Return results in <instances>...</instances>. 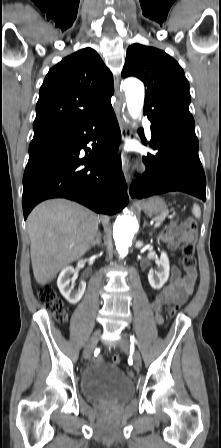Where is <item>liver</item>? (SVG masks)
I'll return each instance as SVG.
<instances>
[{"label": "liver", "instance_id": "liver-1", "mask_svg": "<svg viewBox=\"0 0 221 448\" xmlns=\"http://www.w3.org/2000/svg\"><path fill=\"white\" fill-rule=\"evenodd\" d=\"M99 216L75 202L53 199L37 205L27 218L34 278L46 284L81 258L98 233Z\"/></svg>", "mask_w": 221, "mask_h": 448}]
</instances>
